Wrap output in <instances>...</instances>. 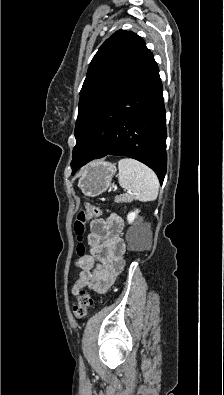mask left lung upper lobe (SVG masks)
Segmentation results:
<instances>
[{
    "label": "left lung upper lobe",
    "mask_w": 224,
    "mask_h": 395,
    "mask_svg": "<svg viewBox=\"0 0 224 395\" xmlns=\"http://www.w3.org/2000/svg\"><path fill=\"white\" fill-rule=\"evenodd\" d=\"M152 55L141 37L126 30L115 32L99 48L80 92L72 171L85 156L104 109Z\"/></svg>",
    "instance_id": "1"
}]
</instances>
